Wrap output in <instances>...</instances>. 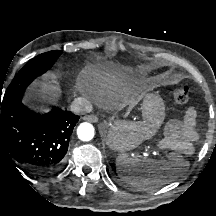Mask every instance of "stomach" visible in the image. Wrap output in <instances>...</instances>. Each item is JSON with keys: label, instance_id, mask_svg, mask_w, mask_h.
Here are the masks:
<instances>
[{"label": "stomach", "instance_id": "obj_1", "mask_svg": "<svg viewBox=\"0 0 216 216\" xmlns=\"http://www.w3.org/2000/svg\"><path fill=\"white\" fill-rule=\"evenodd\" d=\"M143 122L110 123L106 132V144L113 150L124 152L136 148L151 138L161 127L165 118V106L159 95L146 93L141 104Z\"/></svg>", "mask_w": 216, "mask_h": 216}]
</instances>
